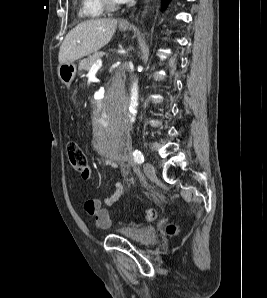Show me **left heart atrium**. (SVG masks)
<instances>
[{
  "label": "left heart atrium",
  "mask_w": 267,
  "mask_h": 298,
  "mask_svg": "<svg viewBox=\"0 0 267 298\" xmlns=\"http://www.w3.org/2000/svg\"><path fill=\"white\" fill-rule=\"evenodd\" d=\"M116 1H118V2H120V3H125V2H127V1H129V0H116Z\"/></svg>",
  "instance_id": "left-heart-atrium-1"
}]
</instances>
